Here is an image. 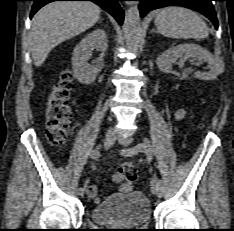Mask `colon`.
Segmentation results:
<instances>
[{"label": "colon", "mask_w": 234, "mask_h": 231, "mask_svg": "<svg viewBox=\"0 0 234 231\" xmlns=\"http://www.w3.org/2000/svg\"><path fill=\"white\" fill-rule=\"evenodd\" d=\"M73 86V75L70 71L62 73L52 86L46 99L47 137L53 145H63L68 138V129L72 119L69 104L70 90ZM137 172L130 162H123L114 174V181L126 179L135 181Z\"/></svg>", "instance_id": "5ec220e1"}]
</instances>
